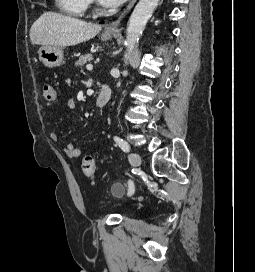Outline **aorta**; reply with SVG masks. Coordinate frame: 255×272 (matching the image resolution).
Masks as SVG:
<instances>
[{
	"label": "aorta",
	"mask_w": 255,
	"mask_h": 272,
	"mask_svg": "<svg viewBox=\"0 0 255 272\" xmlns=\"http://www.w3.org/2000/svg\"><path fill=\"white\" fill-rule=\"evenodd\" d=\"M158 2L159 0H139L133 10L126 30L125 45L127 52L124 55L125 64H128L131 59L133 50Z\"/></svg>",
	"instance_id": "obj_1"
}]
</instances>
